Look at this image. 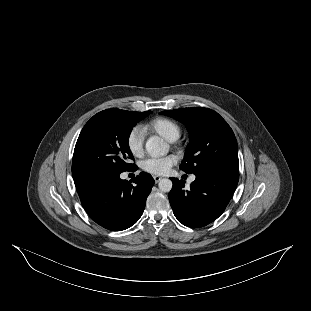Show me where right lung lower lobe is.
Wrapping results in <instances>:
<instances>
[{
    "instance_id": "obj_1",
    "label": "right lung lower lobe",
    "mask_w": 311,
    "mask_h": 311,
    "mask_svg": "<svg viewBox=\"0 0 311 311\" xmlns=\"http://www.w3.org/2000/svg\"><path fill=\"white\" fill-rule=\"evenodd\" d=\"M74 183L88 215L108 230L121 231L139 220L155 181L145 172L136 177L135 185L120 174L96 172L77 177Z\"/></svg>"
}]
</instances>
